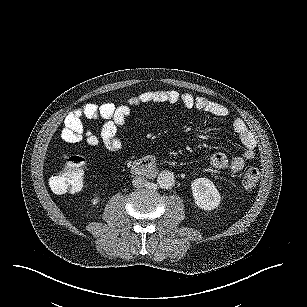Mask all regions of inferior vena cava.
Listing matches in <instances>:
<instances>
[{
  "label": "inferior vena cava",
  "mask_w": 307,
  "mask_h": 307,
  "mask_svg": "<svg viewBox=\"0 0 307 307\" xmlns=\"http://www.w3.org/2000/svg\"><path fill=\"white\" fill-rule=\"evenodd\" d=\"M148 181L145 177L143 176H135L133 179H132V185L134 188H143L147 185Z\"/></svg>",
  "instance_id": "602c4592"
}]
</instances>
